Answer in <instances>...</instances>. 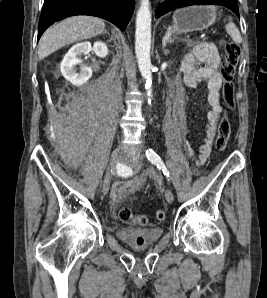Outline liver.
I'll return each mask as SVG.
<instances>
[{"label":"liver","mask_w":267,"mask_h":298,"mask_svg":"<svg viewBox=\"0 0 267 298\" xmlns=\"http://www.w3.org/2000/svg\"><path fill=\"white\" fill-rule=\"evenodd\" d=\"M104 29V21L96 17L67 18L44 32L39 41L38 56L44 59L66 45L100 35Z\"/></svg>","instance_id":"liver-1"}]
</instances>
